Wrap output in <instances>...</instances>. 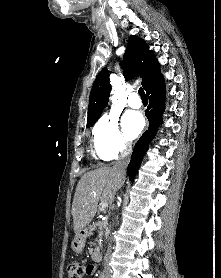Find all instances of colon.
<instances>
[{
  "mask_svg": "<svg viewBox=\"0 0 221 278\" xmlns=\"http://www.w3.org/2000/svg\"><path fill=\"white\" fill-rule=\"evenodd\" d=\"M91 271L90 265H85L82 262H71L66 269L67 278H84Z\"/></svg>",
  "mask_w": 221,
  "mask_h": 278,
  "instance_id": "obj_1",
  "label": "colon"
}]
</instances>
